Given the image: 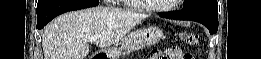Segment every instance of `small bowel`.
Wrapping results in <instances>:
<instances>
[{
	"mask_svg": "<svg viewBox=\"0 0 261 59\" xmlns=\"http://www.w3.org/2000/svg\"><path fill=\"white\" fill-rule=\"evenodd\" d=\"M155 51H157V50H154L151 54H153V53H155ZM151 57V55L149 56V58ZM151 59V58H150Z\"/></svg>",
	"mask_w": 261,
	"mask_h": 59,
	"instance_id": "small-bowel-1",
	"label": "small bowel"
}]
</instances>
